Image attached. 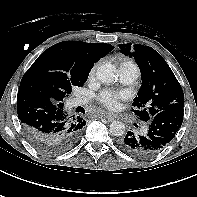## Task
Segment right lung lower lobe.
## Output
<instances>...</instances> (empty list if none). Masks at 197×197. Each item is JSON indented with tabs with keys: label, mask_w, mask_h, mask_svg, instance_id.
<instances>
[{
	"label": "right lung lower lobe",
	"mask_w": 197,
	"mask_h": 197,
	"mask_svg": "<svg viewBox=\"0 0 197 197\" xmlns=\"http://www.w3.org/2000/svg\"><path fill=\"white\" fill-rule=\"evenodd\" d=\"M17 114L28 138L49 154H59L74 147L86 122L69 116L63 104L54 103L43 93L19 88Z\"/></svg>",
	"instance_id": "98d812e1"
}]
</instances>
